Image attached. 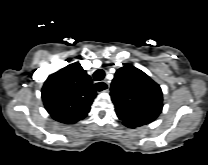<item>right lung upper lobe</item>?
I'll use <instances>...</instances> for the list:
<instances>
[{
  "mask_svg": "<svg viewBox=\"0 0 208 165\" xmlns=\"http://www.w3.org/2000/svg\"><path fill=\"white\" fill-rule=\"evenodd\" d=\"M41 92L47 112L54 120L65 124L84 119L96 97L92 79L79 63L51 74Z\"/></svg>",
  "mask_w": 208,
  "mask_h": 165,
  "instance_id": "obj_1",
  "label": "right lung upper lobe"
}]
</instances>
